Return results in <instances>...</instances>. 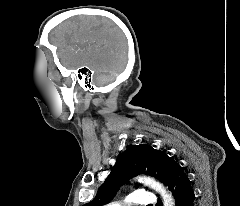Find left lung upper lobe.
<instances>
[{
	"label": "left lung upper lobe",
	"instance_id": "1",
	"mask_svg": "<svg viewBox=\"0 0 240 206\" xmlns=\"http://www.w3.org/2000/svg\"><path fill=\"white\" fill-rule=\"evenodd\" d=\"M173 163L175 161L165 152L148 144L129 145L98 189L95 198L83 206H102L108 203L122 184L139 174L154 176L166 185Z\"/></svg>",
	"mask_w": 240,
	"mask_h": 206
}]
</instances>
